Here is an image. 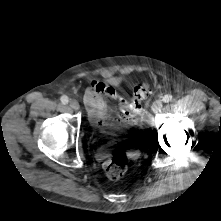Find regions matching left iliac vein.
Wrapping results in <instances>:
<instances>
[{
  "instance_id": "4c4485c4",
  "label": "left iliac vein",
  "mask_w": 221,
  "mask_h": 221,
  "mask_svg": "<svg viewBox=\"0 0 221 221\" xmlns=\"http://www.w3.org/2000/svg\"><path fill=\"white\" fill-rule=\"evenodd\" d=\"M162 109V102L161 101H155L151 107V110L154 112V113H158L160 112Z\"/></svg>"
}]
</instances>
